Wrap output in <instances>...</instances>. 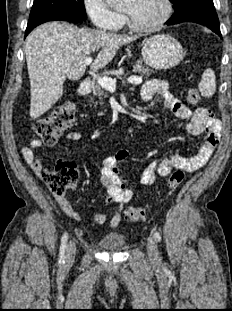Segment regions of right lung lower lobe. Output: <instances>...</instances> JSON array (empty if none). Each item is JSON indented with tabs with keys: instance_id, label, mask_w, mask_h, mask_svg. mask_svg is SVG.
<instances>
[{
	"instance_id": "98d812e1",
	"label": "right lung lower lobe",
	"mask_w": 232,
	"mask_h": 311,
	"mask_svg": "<svg viewBox=\"0 0 232 311\" xmlns=\"http://www.w3.org/2000/svg\"><path fill=\"white\" fill-rule=\"evenodd\" d=\"M53 20H65L72 22L85 21V19H82L80 17H77L75 15L66 12H48L29 18L28 25L26 28V35L29 34L36 26L44 22Z\"/></svg>"
}]
</instances>
